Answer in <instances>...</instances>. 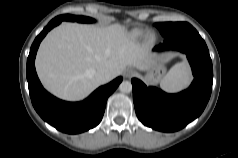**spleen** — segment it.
Wrapping results in <instances>:
<instances>
[{
    "label": "spleen",
    "mask_w": 238,
    "mask_h": 158,
    "mask_svg": "<svg viewBox=\"0 0 238 158\" xmlns=\"http://www.w3.org/2000/svg\"><path fill=\"white\" fill-rule=\"evenodd\" d=\"M192 77L185 62L175 64L160 82V87L166 92H176L186 87Z\"/></svg>",
    "instance_id": "3e777b00"
}]
</instances>
